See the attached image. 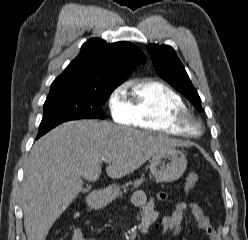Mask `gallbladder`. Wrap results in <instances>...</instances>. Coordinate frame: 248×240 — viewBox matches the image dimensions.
Wrapping results in <instances>:
<instances>
[{"instance_id": "bac80fb5", "label": "gallbladder", "mask_w": 248, "mask_h": 240, "mask_svg": "<svg viewBox=\"0 0 248 240\" xmlns=\"http://www.w3.org/2000/svg\"><path fill=\"white\" fill-rule=\"evenodd\" d=\"M82 191L85 192V191H87V189H83Z\"/></svg>"}]
</instances>
